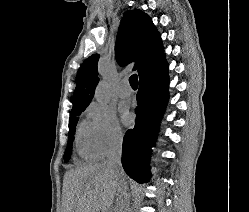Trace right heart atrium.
Segmentation results:
<instances>
[{
  "mask_svg": "<svg viewBox=\"0 0 249 212\" xmlns=\"http://www.w3.org/2000/svg\"><path fill=\"white\" fill-rule=\"evenodd\" d=\"M91 129V142L96 157L104 159L117 151L123 143V132L115 114L109 108L91 102L85 109Z\"/></svg>",
  "mask_w": 249,
  "mask_h": 212,
  "instance_id": "right-heart-atrium-1",
  "label": "right heart atrium"
}]
</instances>
